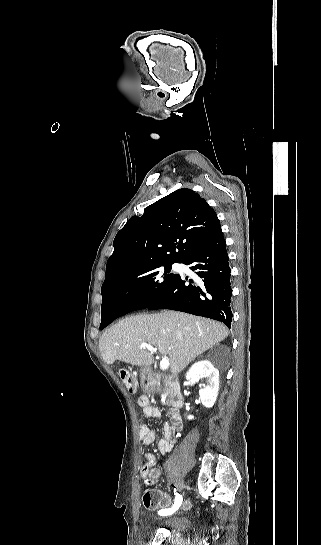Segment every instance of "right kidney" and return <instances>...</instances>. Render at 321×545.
I'll return each mask as SVG.
<instances>
[{"label":"right kidney","instance_id":"1","mask_svg":"<svg viewBox=\"0 0 321 545\" xmlns=\"http://www.w3.org/2000/svg\"><path fill=\"white\" fill-rule=\"evenodd\" d=\"M200 377H206L207 379L206 387L199 391L201 403L204 407L210 409V407H213L219 391V371L214 370L210 361H198L186 373V381L188 385H195ZM188 419H193V417L189 415Z\"/></svg>","mask_w":321,"mask_h":545}]
</instances>
